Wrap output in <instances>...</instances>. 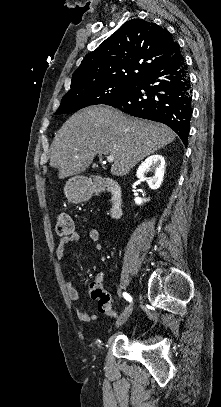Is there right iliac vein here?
<instances>
[{
	"instance_id": "obj_1",
	"label": "right iliac vein",
	"mask_w": 221,
	"mask_h": 407,
	"mask_svg": "<svg viewBox=\"0 0 221 407\" xmlns=\"http://www.w3.org/2000/svg\"><path fill=\"white\" fill-rule=\"evenodd\" d=\"M132 308H133V303H132L131 305H129V306L125 309V311H124V313H123V316L121 317V319H120V320L118 321V323L116 324V327H117V328L120 327L122 324H124V323L126 322L127 318L129 317V315H130V313H131Z\"/></svg>"
}]
</instances>
